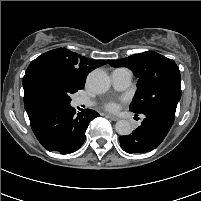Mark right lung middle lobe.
Wrapping results in <instances>:
<instances>
[{
  "label": "right lung middle lobe",
  "instance_id": "obj_1",
  "mask_svg": "<svg viewBox=\"0 0 201 201\" xmlns=\"http://www.w3.org/2000/svg\"><path fill=\"white\" fill-rule=\"evenodd\" d=\"M30 87L32 91L45 93L68 103L71 101V94L83 89L53 67L38 70L30 80Z\"/></svg>",
  "mask_w": 201,
  "mask_h": 201
}]
</instances>
